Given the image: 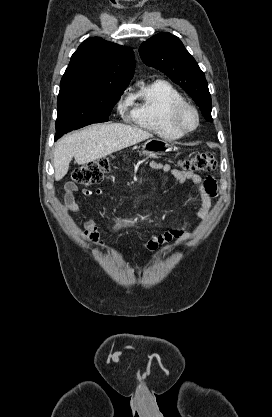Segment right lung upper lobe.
I'll return each mask as SVG.
<instances>
[{
  "mask_svg": "<svg viewBox=\"0 0 272 417\" xmlns=\"http://www.w3.org/2000/svg\"><path fill=\"white\" fill-rule=\"evenodd\" d=\"M135 70L131 48L92 37L72 55L58 98L93 95L129 85Z\"/></svg>",
  "mask_w": 272,
  "mask_h": 417,
  "instance_id": "1",
  "label": "right lung upper lobe"
}]
</instances>
